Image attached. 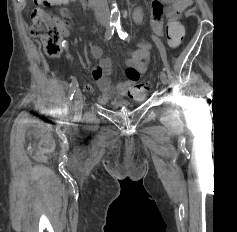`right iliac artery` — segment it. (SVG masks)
I'll list each match as a JSON object with an SVG mask.
<instances>
[{
  "mask_svg": "<svg viewBox=\"0 0 237 232\" xmlns=\"http://www.w3.org/2000/svg\"><path fill=\"white\" fill-rule=\"evenodd\" d=\"M115 26L113 24H110L105 32V39L109 40L114 34ZM78 88V82L77 79L73 76L72 77V82L70 84V90H69V100L72 101L74 93L76 92Z\"/></svg>",
  "mask_w": 237,
  "mask_h": 232,
  "instance_id": "obj_1",
  "label": "right iliac artery"
}]
</instances>
